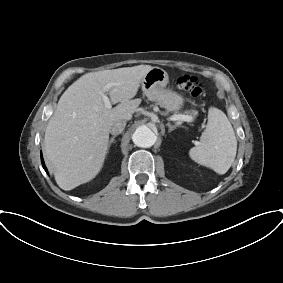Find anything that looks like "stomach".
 <instances>
[{
    "mask_svg": "<svg viewBox=\"0 0 283 283\" xmlns=\"http://www.w3.org/2000/svg\"><path fill=\"white\" fill-rule=\"evenodd\" d=\"M168 82V73L160 67H153L142 79L141 86L149 100L169 112H178L184 105V99L179 93L166 88Z\"/></svg>",
    "mask_w": 283,
    "mask_h": 283,
    "instance_id": "obj_1",
    "label": "stomach"
}]
</instances>
